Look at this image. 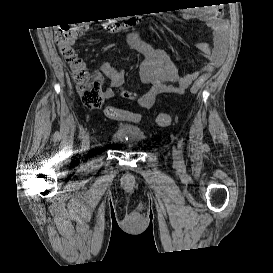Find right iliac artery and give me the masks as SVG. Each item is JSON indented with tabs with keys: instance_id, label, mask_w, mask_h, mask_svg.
I'll use <instances>...</instances> for the list:
<instances>
[{
	"instance_id": "82829eb1",
	"label": "right iliac artery",
	"mask_w": 273,
	"mask_h": 273,
	"mask_svg": "<svg viewBox=\"0 0 273 273\" xmlns=\"http://www.w3.org/2000/svg\"><path fill=\"white\" fill-rule=\"evenodd\" d=\"M84 134H85V129L83 127H81L79 130V138L82 139Z\"/></svg>"
}]
</instances>
